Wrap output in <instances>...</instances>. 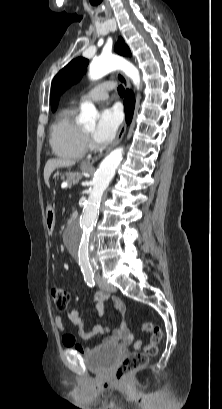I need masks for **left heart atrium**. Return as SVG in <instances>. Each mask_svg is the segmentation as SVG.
Returning <instances> with one entry per match:
<instances>
[{"instance_id": "39dd6f15", "label": "left heart atrium", "mask_w": 222, "mask_h": 409, "mask_svg": "<svg viewBox=\"0 0 222 409\" xmlns=\"http://www.w3.org/2000/svg\"><path fill=\"white\" fill-rule=\"evenodd\" d=\"M121 113L116 107L105 108L101 114L99 121L92 133L93 141L97 145H105L110 142L120 125Z\"/></svg>"}]
</instances>
